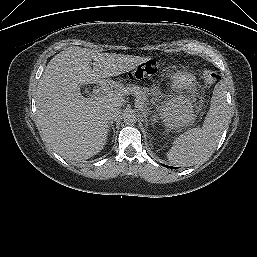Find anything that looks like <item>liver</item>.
I'll use <instances>...</instances> for the list:
<instances>
[{"instance_id": "liver-1", "label": "liver", "mask_w": 257, "mask_h": 257, "mask_svg": "<svg viewBox=\"0 0 257 257\" xmlns=\"http://www.w3.org/2000/svg\"><path fill=\"white\" fill-rule=\"evenodd\" d=\"M93 61V68L91 62ZM146 58L72 47L55 55L37 87L38 126L44 141L62 158L81 162L99 153L107 142L109 122L104 114L120 108L121 92L93 100L85 98L79 85L103 83L118 87L108 77L127 73Z\"/></svg>"}]
</instances>
